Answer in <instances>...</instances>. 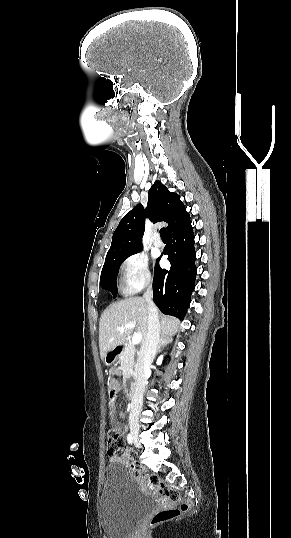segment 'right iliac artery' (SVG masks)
<instances>
[{
	"label": "right iliac artery",
	"mask_w": 291,
	"mask_h": 538,
	"mask_svg": "<svg viewBox=\"0 0 291 538\" xmlns=\"http://www.w3.org/2000/svg\"><path fill=\"white\" fill-rule=\"evenodd\" d=\"M127 441L129 444H132L133 443V438H132V435L131 434H128L127 435Z\"/></svg>",
	"instance_id": "1"
}]
</instances>
